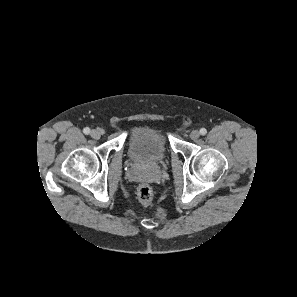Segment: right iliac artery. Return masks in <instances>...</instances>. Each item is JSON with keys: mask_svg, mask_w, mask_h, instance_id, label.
Segmentation results:
<instances>
[{"mask_svg": "<svg viewBox=\"0 0 297 297\" xmlns=\"http://www.w3.org/2000/svg\"><path fill=\"white\" fill-rule=\"evenodd\" d=\"M84 134H89L90 133V129L88 127L83 129Z\"/></svg>", "mask_w": 297, "mask_h": 297, "instance_id": "obj_1", "label": "right iliac artery"}]
</instances>
